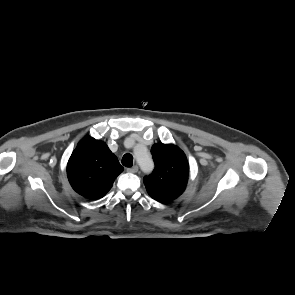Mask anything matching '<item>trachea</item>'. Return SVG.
I'll list each match as a JSON object with an SVG mask.
<instances>
[{
  "instance_id": "trachea-1",
  "label": "trachea",
  "mask_w": 295,
  "mask_h": 295,
  "mask_svg": "<svg viewBox=\"0 0 295 295\" xmlns=\"http://www.w3.org/2000/svg\"><path fill=\"white\" fill-rule=\"evenodd\" d=\"M122 164L125 167H132L133 166V156L130 153H127L122 158Z\"/></svg>"
}]
</instances>
